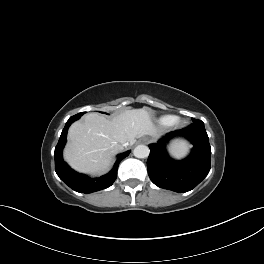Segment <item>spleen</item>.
Returning a JSON list of instances; mask_svg holds the SVG:
<instances>
[{
  "label": "spleen",
  "mask_w": 264,
  "mask_h": 264,
  "mask_svg": "<svg viewBox=\"0 0 264 264\" xmlns=\"http://www.w3.org/2000/svg\"><path fill=\"white\" fill-rule=\"evenodd\" d=\"M187 152H188V145L186 143H180L176 145L172 150L173 155L178 158L183 157L184 155H186Z\"/></svg>",
  "instance_id": "3e777b00"
}]
</instances>
